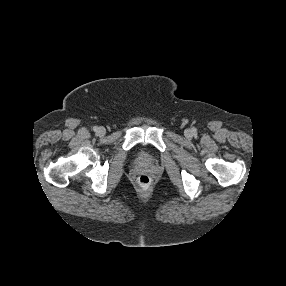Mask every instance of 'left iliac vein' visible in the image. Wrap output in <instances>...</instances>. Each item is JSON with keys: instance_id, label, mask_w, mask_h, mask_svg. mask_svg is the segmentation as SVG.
I'll use <instances>...</instances> for the list:
<instances>
[{"instance_id": "1", "label": "left iliac vein", "mask_w": 286, "mask_h": 286, "mask_svg": "<svg viewBox=\"0 0 286 286\" xmlns=\"http://www.w3.org/2000/svg\"><path fill=\"white\" fill-rule=\"evenodd\" d=\"M185 136H186V137H191V136H192V131H191L190 129H187V130L185 131Z\"/></svg>"}]
</instances>
